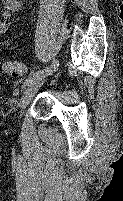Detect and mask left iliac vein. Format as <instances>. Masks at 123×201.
I'll list each match as a JSON object with an SVG mask.
<instances>
[{"mask_svg": "<svg viewBox=\"0 0 123 201\" xmlns=\"http://www.w3.org/2000/svg\"><path fill=\"white\" fill-rule=\"evenodd\" d=\"M52 73H47L44 75H39L35 77L25 88L22 98H21V113L27 107L29 102L31 101L32 97L35 95L37 90L43 85L46 78L51 75Z\"/></svg>", "mask_w": 123, "mask_h": 201, "instance_id": "4c4485c4", "label": "left iliac vein"}]
</instances>
